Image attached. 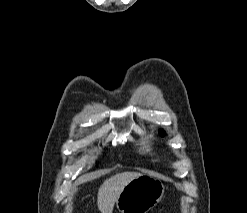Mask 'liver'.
<instances>
[{
	"label": "liver",
	"mask_w": 247,
	"mask_h": 213,
	"mask_svg": "<svg viewBox=\"0 0 247 213\" xmlns=\"http://www.w3.org/2000/svg\"><path fill=\"white\" fill-rule=\"evenodd\" d=\"M141 176L137 172L118 173L106 179L100 186L97 205L101 213H112L114 204L123 188L133 179Z\"/></svg>",
	"instance_id": "liver-1"
}]
</instances>
